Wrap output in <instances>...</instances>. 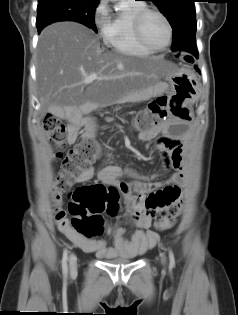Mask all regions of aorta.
<instances>
[{
  "label": "aorta",
  "mask_w": 238,
  "mask_h": 315,
  "mask_svg": "<svg viewBox=\"0 0 238 315\" xmlns=\"http://www.w3.org/2000/svg\"><path fill=\"white\" fill-rule=\"evenodd\" d=\"M111 1H117V0H111ZM118 9H120L121 7L119 5L116 6Z\"/></svg>",
  "instance_id": "aorta-1"
}]
</instances>
